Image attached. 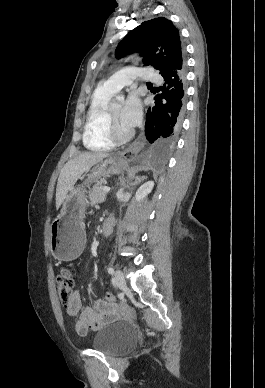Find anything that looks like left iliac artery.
<instances>
[{"instance_id":"1","label":"left iliac artery","mask_w":265,"mask_h":388,"mask_svg":"<svg viewBox=\"0 0 265 388\" xmlns=\"http://www.w3.org/2000/svg\"><path fill=\"white\" fill-rule=\"evenodd\" d=\"M108 273L113 275L114 274V268L113 267H109L108 268Z\"/></svg>"}]
</instances>
